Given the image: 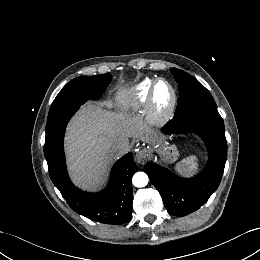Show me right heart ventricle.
I'll return each mask as SVG.
<instances>
[{"mask_svg":"<svg viewBox=\"0 0 260 260\" xmlns=\"http://www.w3.org/2000/svg\"><path fill=\"white\" fill-rule=\"evenodd\" d=\"M154 81V79L145 78L133 87L122 90L117 97L119 107L125 112H140L147 103L148 95Z\"/></svg>","mask_w":260,"mask_h":260,"instance_id":"right-heart-ventricle-1","label":"right heart ventricle"}]
</instances>
